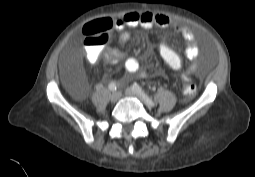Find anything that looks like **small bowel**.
<instances>
[{
    "mask_svg": "<svg viewBox=\"0 0 255 177\" xmlns=\"http://www.w3.org/2000/svg\"><path fill=\"white\" fill-rule=\"evenodd\" d=\"M105 19L109 21L111 26L113 25L116 30L121 31L118 38L121 43L130 39V34L124 31L125 28H151L157 26L172 29L175 33L181 35L186 40L184 56L191 62V65L188 67L189 73L192 74L196 71L199 46L195 39V31L191 27L182 25L164 14H153L150 12H128L114 20L110 18ZM101 54L102 53L98 48L92 47L87 52V58L90 62L94 63L100 58ZM104 56L109 63H114L119 59H122L125 56V53L122 50L111 48L105 52ZM169 67L174 69L171 66ZM124 70L128 74L139 73V61L133 57L127 58L124 63Z\"/></svg>",
    "mask_w": 255,
    "mask_h": 177,
    "instance_id": "1",
    "label": "small bowel"
}]
</instances>
